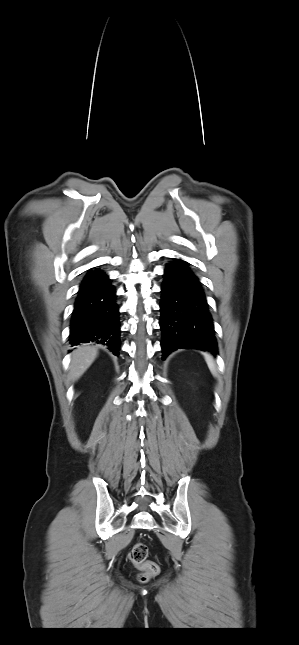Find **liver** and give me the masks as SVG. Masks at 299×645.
<instances>
[{"instance_id":"liver-1","label":"liver","mask_w":299,"mask_h":645,"mask_svg":"<svg viewBox=\"0 0 299 645\" xmlns=\"http://www.w3.org/2000/svg\"><path fill=\"white\" fill-rule=\"evenodd\" d=\"M97 354V348L87 345L73 351L70 365V377L73 381L78 380L84 374L96 359Z\"/></svg>"}]
</instances>
